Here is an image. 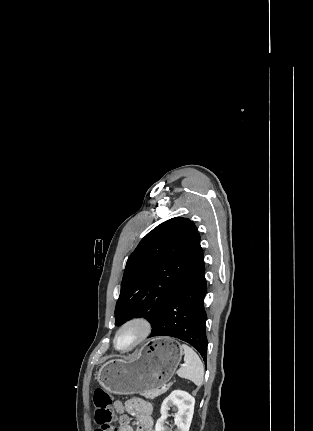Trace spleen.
<instances>
[{
    "mask_svg": "<svg viewBox=\"0 0 313 431\" xmlns=\"http://www.w3.org/2000/svg\"><path fill=\"white\" fill-rule=\"evenodd\" d=\"M184 350V361L185 364L178 371L177 374L181 378L192 381L196 386H201L204 380V367L197 353L187 346L186 344L181 345Z\"/></svg>",
    "mask_w": 313,
    "mask_h": 431,
    "instance_id": "obj_1",
    "label": "spleen"
}]
</instances>
